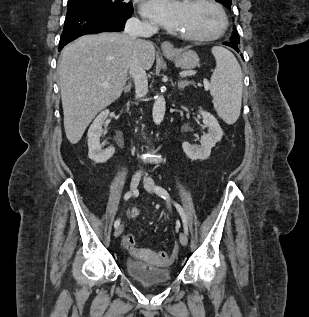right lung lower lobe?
Returning a JSON list of instances; mask_svg holds the SVG:
<instances>
[{"instance_id":"1","label":"right lung lower lobe","mask_w":309,"mask_h":317,"mask_svg":"<svg viewBox=\"0 0 309 317\" xmlns=\"http://www.w3.org/2000/svg\"><path fill=\"white\" fill-rule=\"evenodd\" d=\"M132 13L90 7H68L58 51L82 35L122 31Z\"/></svg>"}]
</instances>
